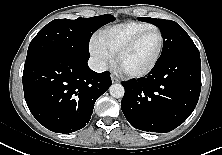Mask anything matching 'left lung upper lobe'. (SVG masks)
Masks as SVG:
<instances>
[{
	"label": "left lung upper lobe",
	"instance_id": "5c2ea615",
	"mask_svg": "<svg viewBox=\"0 0 222 155\" xmlns=\"http://www.w3.org/2000/svg\"><path fill=\"white\" fill-rule=\"evenodd\" d=\"M139 19L141 21L153 23L161 29L163 35V49L158 60L175 54H200L192 39L176 22L149 17H140Z\"/></svg>",
	"mask_w": 222,
	"mask_h": 155
}]
</instances>
